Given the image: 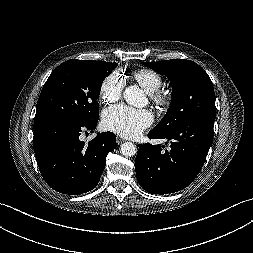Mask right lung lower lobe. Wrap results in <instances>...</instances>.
<instances>
[{
	"label": "right lung lower lobe",
	"instance_id": "98d812e1",
	"mask_svg": "<svg viewBox=\"0 0 253 253\" xmlns=\"http://www.w3.org/2000/svg\"><path fill=\"white\" fill-rule=\"evenodd\" d=\"M99 118L76 123L63 118L34 122L33 147L46 183L62 194L77 195L92 190L106 165V156L116 147L112 132L98 133L85 143L79 136L96 128Z\"/></svg>",
	"mask_w": 253,
	"mask_h": 253
}]
</instances>
